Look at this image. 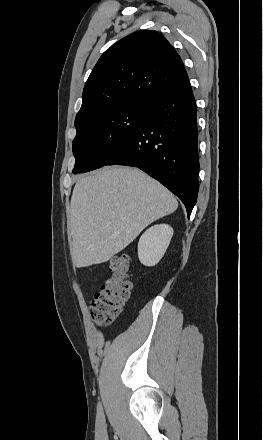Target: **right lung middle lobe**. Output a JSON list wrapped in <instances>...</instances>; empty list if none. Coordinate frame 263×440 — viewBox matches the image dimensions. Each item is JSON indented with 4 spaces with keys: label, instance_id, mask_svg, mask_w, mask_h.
Listing matches in <instances>:
<instances>
[{
    "label": "right lung middle lobe",
    "instance_id": "dd1d6c3e",
    "mask_svg": "<svg viewBox=\"0 0 263 440\" xmlns=\"http://www.w3.org/2000/svg\"><path fill=\"white\" fill-rule=\"evenodd\" d=\"M147 102H132L97 113L78 125L73 141L76 162L73 173L88 172L106 165L111 154L141 124Z\"/></svg>",
    "mask_w": 263,
    "mask_h": 440
}]
</instances>
